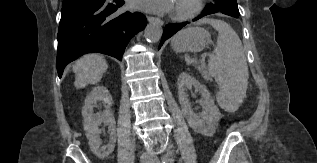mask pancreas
<instances>
[{"mask_svg": "<svg viewBox=\"0 0 317 163\" xmlns=\"http://www.w3.org/2000/svg\"><path fill=\"white\" fill-rule=\"evenodd\" d=\"M199 69L200 70H203L204 69V66L202 65V66H199Z\"/></svg>", "mask_w": 317, "mask_h": 163, "instance_id": "1", "label": "pancreas"}]
</instances>
